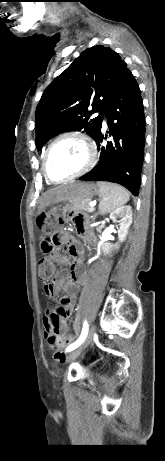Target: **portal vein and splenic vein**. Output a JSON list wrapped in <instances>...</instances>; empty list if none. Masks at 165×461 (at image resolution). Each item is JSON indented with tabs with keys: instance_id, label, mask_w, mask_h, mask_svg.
<instances>
[{
	"instance_id": "1",
	"label": "portal vein and splenic vein",
	"mask_w": 165,
	"mask_h": 461,
	"mask_svg": "<svg viewBox=\"0 0 165 461\" xmlns=\"http://www.w3.org/2000/svg\"><path fill=\"white\" fill-rule=\"evenodd\" d=\"M95 205H96V201H92L89 203V206L91 207L92 210H94Z\"/></svg>"
}]
</instances>
